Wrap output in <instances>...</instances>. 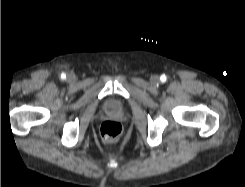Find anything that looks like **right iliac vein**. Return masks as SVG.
Segmentation results:
<instances>
[{
  "label": "right iliac vein",
  "instance_id": "obj_1",
  "mask_svg": "<svg viewBox=\"0 0 245 187\" xmlns=\"http://www.w3.org/2000/svg\"><path fill=\"white\" fill-rule=\"evenodd\" d=\"M68 79H69V80H73L74 77H73L72 75H70V76L68 77Z\"/></svg>",
  "mask_w": 245,
  "mask_h": 187
}]
</instances>
